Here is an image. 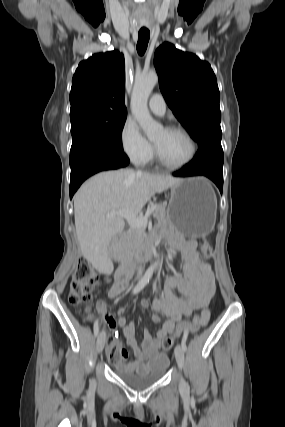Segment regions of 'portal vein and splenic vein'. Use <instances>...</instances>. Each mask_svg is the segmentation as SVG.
Returning a JSON list of instances; mask_svg holds the SVG:
<instances>
[{
  "mask_svg": "<svg viewBox=\"0 0 285 427\" xmlns=\"http://www.w3.org/2000/svg\"><path fill=\"white\" fill-rule=\"evenodd\" d=\"M155 209H156V206H152L146 211L144 216H138L137 213L132 212L128 209H120L117 211H112L107 213V217H113V216L124 217L131 227H141L145 229L148 224V217L150 216L151 213L154 212Z\"/></svg>",
  "mask_w": 285,
  "mask_h": 427,
  "instance_id": "18ae733b",
  "label": "portal vein and splenic vein"
}]
</instances>
